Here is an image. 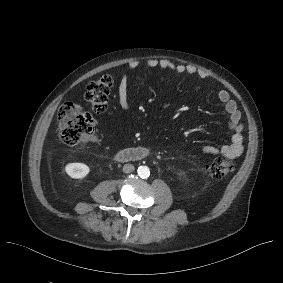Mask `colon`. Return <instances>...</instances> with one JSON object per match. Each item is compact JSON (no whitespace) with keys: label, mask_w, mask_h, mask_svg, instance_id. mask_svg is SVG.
Wrapping results in <instances>:
<instances>
[{"label":"colon","mask_w":283,"mask_h":283,"mask_svg":"<svg viewBox=\"0 0 283 283\" xmlns=\"http://www.w3.org/2000/svg\"><path fill=\"white\" fill-rule=\"evenodd\" d=\"M113 84V77L104 75L88 85L84 98L93 111L102 113L106 110ZM58 130L61 140L70 146L84 147L95 139L93 117L72 102H66L60 108ZM233 169V164L224 159H215L205 166V171L217 179L226 177Z\"/></svg>","instance_id":"1"}]
</instances>
